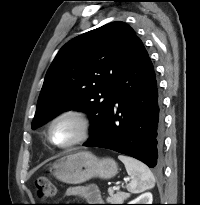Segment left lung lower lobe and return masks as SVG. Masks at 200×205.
<instances>
[{
	"instance_id": "obj_1",
	"label": "left lung lower lobe",
	"mask_w": 200,
	"mask_h": 205,
	"mask_svg": "<svg viewBox=\"0 0 200 205\" xmlns=\"http://www.w3.org/2000/svg\"><path fill=\"white\" fill-rule=\"evenodd\" d=\"M105 122L84 146L101 147L134 157L150 168L162 159L163 117L153 65L137 37L114 83Z\"/></svg>"
}]
</instances>
